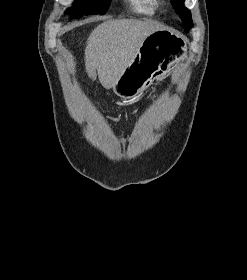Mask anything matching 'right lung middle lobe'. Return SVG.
Segmentation results:
<instances>
[{
    "mask_svg": "<svg viewBox=\"0 0 247 280\" xmlns=\"http://www.w3.org/2000/svg\"><path fill=\"white\" fill-rule=\"evenodd\" d=\"M110 0H77L70 8V12L75 18L83 15L100 14L103 15L108 9Z\"/></svg>",
    "mask_w": 247,
    "mask_h": 280,
    "instance_id": "right-lung-middle-lobe-1",
    "label": "right lung middle lobe"
}]
</instances>
